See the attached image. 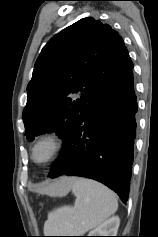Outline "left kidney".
<instances>
[{
    "mask_svg": "<svg viewBox=\"0 0 158 237\" xmlns=\"http://www.w3.org/2000/svg\"><path fill=\"white\" fill-rule=\"evenodd\" d=\"M120 218L113 216L92 230L88 236H117Z\"/></svg>",
    "mask_w": 158,
    "mask_h": 237,
    "instance_id": "1",
    "label": "left kidney"
}]
</instances>
